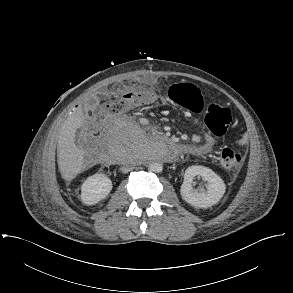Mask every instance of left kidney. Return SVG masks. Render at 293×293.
<instances>
[{"instance_id":"left-kidney-1","label":"left kidney","mask_w":293,"mask_h":293,"mask_svg":"<svg viewBox=\"0 0 293 293\" xmlns=\"http://www.w3.org/2000/svg\"><path fill=\"white\" fill-rule=\"evenodd\" d=\"M200 176L208 182L207 191H197L192 188L193 179ZM226 190L224 181L213 170L193 165L186 169L180 193L182 198L190 205L198 208H208L215 205L223 197Z\"/></svg>"}]
</instances>
